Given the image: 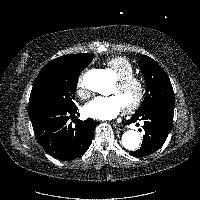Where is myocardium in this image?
<instances>
[{
	"label": "myocardium",
	"instance_id": "myocardium-1",
	"mask_svg": "<svg viewBox=\"0 0 200 200\" xmlns=\"http://www.w3.org/2000/svg\"><path fill=\"white\" fill-rule=\"evenodd\" d=\"M116 86L119 89H124L129 86H136L137 88L136 99L130 105L123 108L126 113H132L142 105L146 96V85L141 77L133 74L124 78H120L118 79Z\"/></svg>",
	"mask_w": 200,
	"mask_h": 200
}]
</instances>
